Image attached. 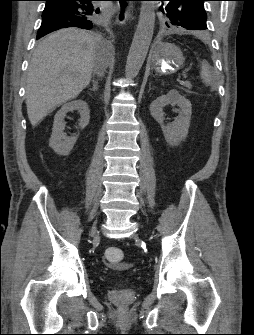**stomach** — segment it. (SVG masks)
<instances>
[{"mask_svg": "<svg viewBox=\"0 0 254 335\" xmlns=\"http://www.w3.org/2000/svg\"><path fill=\"white\" fill-rule=\"evenodd\" d=\"M184 57L179 47L172 43H159L151 56V65L160 74H170L183 65Z\"/></svg>", "mask_w": 254, "mask_h": 335, "instance_id": "0dacf381", "label": "stomach"}]
</instances>
